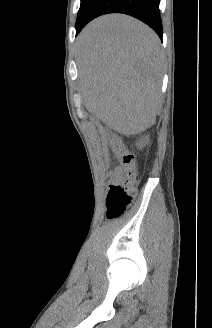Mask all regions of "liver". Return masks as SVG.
I'll return each mask as SVG.
<instances>
[{"instance_id": "1", "label": "liver", "mask_w": 212, "mask_h": 328, "mask_svg": "<svg viewBox=\"0 0 212 328\" xmlns=\"http://www.w3.org/2000/svg\"><path fill=\"white\" fill-rule=\"evenodd\" d=\"M77 64L90 113L126 136L154 124L163 57L160 40L147 25L122 14L93 20L78 37Z\"/></svg>"}]
</instances>
